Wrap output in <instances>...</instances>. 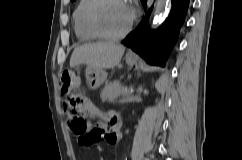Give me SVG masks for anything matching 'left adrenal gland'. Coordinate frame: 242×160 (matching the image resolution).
I'll use <instances>...</instances> for the list:
<instances>
[{
  "mask_svg": "<svg viewBox=\"0 0 242 160\" xmlns=\"http://www.w3.org/2000/svg\"><path fill=\"white\" fill-rule=\"evenodd\" d=\"M128 96V95H127ZM138 96L136 95V96H134V95H130V96H128L127 97V101L128 100H133V99H135V98H137Z\"/></svg>",
  "mask_w": 242,
  "mask_h": 160,
  "instance_id": "1",
  "label": "left adrenal gland"
}]
</instances>
